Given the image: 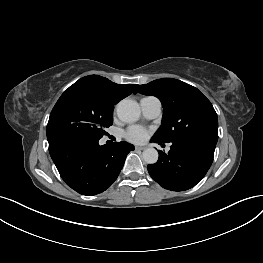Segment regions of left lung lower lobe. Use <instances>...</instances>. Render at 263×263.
Segmentation results:
<instances>
[{
	"label": "left lung lower lobe",
	"mask_w": 263,
	"mask_h": 263,
	"mask_svg": "<svg viewBox=\"0 0 263 263\" xmlns=\"http://www.w3.org/2000/svg\"><path fill=\"white\" fill-rule=\"evenodd\" d=\"M151 142L162 144L157 140ZM168 154L159 152L155 164L147 166L150 176L163 188L183 191L199 183L209 170L216 144L196 141L177 140L171 142Z\"/></svg>",
	"instance_id": "obj_1"
}]
</instances>
